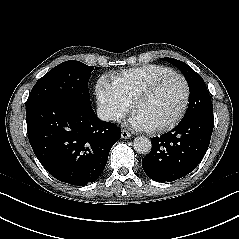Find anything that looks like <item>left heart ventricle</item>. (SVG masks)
<instances>
[{
	"mask_svg": "<svg viewBox=\"0 0 239 239\" xmlns=\"http://www.w3.org/2000/svg\"><path fill=\"white\" fill-rule=\"evenodd\" d=\"M185 96L183 81L175 76L165 79L155 92L135 109L149 127H158L172 121L180 112Z\"/></svg>",
	"mask_w": 239,
	"mask_h": 239,
	"instance_id": "1",
	"label": "left heart ventricle"
}]
</instances>
